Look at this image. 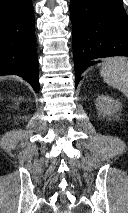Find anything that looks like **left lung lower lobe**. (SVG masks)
<instances>
[{"label":"left lung lower lobe","instance_id":"0a47b994","mask_svg":"<svg viewBox=\"0 0 128 213\" xmlns=\"http://www.w3.org/2000/svg\"><path fill=\"white\" fill-rule=\"evenodd\" d=\"M75 86L93 59L128 56V16L122 0H71Z\"/></svg>","mask_w":128,"mask_h":213}]
</instances>
